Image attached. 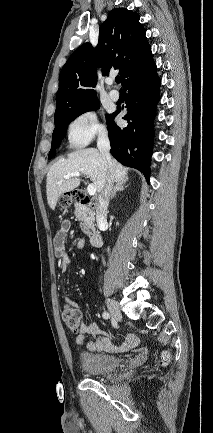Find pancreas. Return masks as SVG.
<instances>
[{
  "mask_svg": "<svg viewBox=\"0 0 213 433\" xmlns=\"http://www.w3.org/2000/svg\"><path fill=\"white\" fill-rule=\"evenodd\" d=\"M75 216L80 221V227L85 234H90L94 227V211L82 204H76Z\"/></svg>",
  "mask_w": 213,
  "mask_h": 433,
  "instance_id": "cf45deb5",
  "label": "pancreas"
}]
</instances>
